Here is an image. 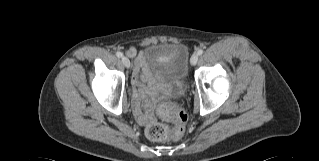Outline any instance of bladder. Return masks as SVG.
Listing matches in <instances>:
<instances>
[{
    "mask_svg": "<svg viewBox=\"0 0 319 161\" xmlns=\"http://www.w3.org/2000/svg\"><path fill=\"white\" fill-rule=\"evenodd\" d=\"M146 73L169 82L185 79L189 72L190 52L183 44H149L142 51Z\"/></svg>",
    "mask_w": 319,
    "mask_h": 161,
    "instance_id": "obj_1",
    "label": "bladder"
}]
</instances>
